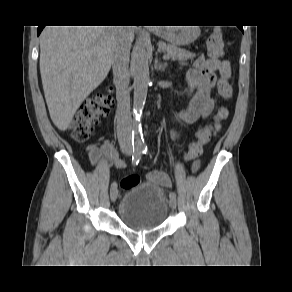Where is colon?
Listing matches in <instances>:
<instances>
[{"instance_id":"5ec220e1","label":"colon","mask_w":292,"mask_h":292,"mask_svg":"<svg viewBox=\"0 0 292 292\" xmlns=\"http://www.w3.org/2000/svg\"><path fill=\"white\" fill-rule=\"evenodd\" d=\"M208 55L212 59L220 60L225 55L224 40L220 28L215 29L207 39ZM218 93L224 100H230L233 95V89L230 82L226 79H220L217 83ZM113 106V100L109 91L97 92L79 109L74 117L70 129L71 136L77 142H84L92 135L98 120L105 116ZM230 110L227 107H220L214 116V121L219 122L228 118ZM212 124H207L200 128L196 133V141L189 145L185 154L187 160H193L200 157L204 146L210 141ZM140 183V177L137 174H131L123 178L120 182L122 189L131 188Z\"/></svg>"}]
</instances>
